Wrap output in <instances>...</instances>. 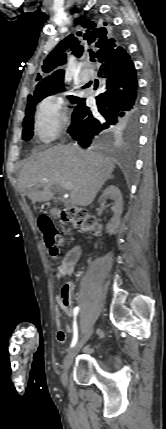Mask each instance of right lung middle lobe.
I'll return each instance as SVG.
<instances>
[{
  "label": "right lung middle lobe",
  "mask_w": 166,
  "mask_h": 429,
  "mask_svg": "<svg viewBox=\"0 0 166 429\" xmlns=\"http://www.w3.org/2000/svg\"><path fill=\"white\" fill-rule=\"evenodd\" d=\"M64 89L63 82L56 84H40L36 87L34 95H30V97L27 99V108L25 110V118L23 121V140H30L33 136V117L37 103L40 102L43 98L63 91ZM68 98L73 103H75L78 99L76 96H69Z\"/></svg>",
  "instance_id": "obj_1"
}]
</instances>
